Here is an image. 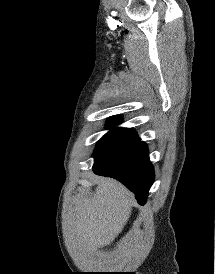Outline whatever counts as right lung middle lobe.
Returning a JSON list of instances; mask_svg holds the SVG:
<instances>
[{
	"label": "right lung middle lobe",
	"instance_id": "dd1d6c3e",
	"mask_svg": "<svg viewBox=\"0 0 215 274\" xmlns=\"http://www.w3.org/2000/svg\"><path fill=\"white\" fill-rule=\"evenodd\" d=\"M120 122L118 116L109 119V124L113 127ZM139 140L140 138L131 128L111 129L98 141L94 152L95 160L109 166L126 155Z\"/></svg>",
	"mask_w": 215,
	"mask_h": 274
}]
</instances>
